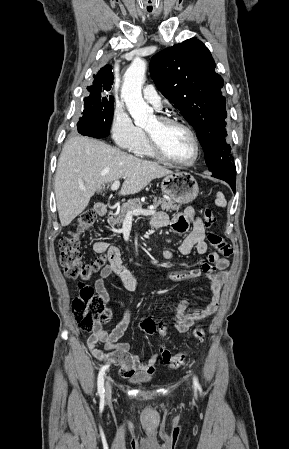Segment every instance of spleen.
Listing matches in <instances>:
<instances>
[{
	"instance_id": "spleen-1",
	"label": "spleen",
	"mask_w": 289,
	"mask_h": 449,
	"mask_svg": "<svg viewBox=\"0 0 289 449\" xmlns=\"http://www.w3.org/2000/svg\"><path fill=\"white\" fill-rule=\"evenodd\" d=\"M215 204L219 207H226L227 202L225 200L224 195L221 192L217 193V198L215 200Z\"/></svg>"
}]
</instances>
